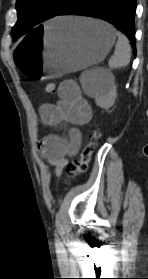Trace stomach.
I'll use <instances>...</instances> for the list:
<instances>
[{"label": "stomach", "mask_w": 148, "mask_h": 279, "mask_svg": "<svg viewBox=\"0 0 148 279\" xmlns=\"http://www.w3.org/2000/svg\"><path fill=\"white\" fill-rule=\"evenodd\" d=\"M115 40V29L99 20L60 17L36 24L15 46V72L22 82H48L98 64Z\"/></svg>", "instance_id": "0dacf381"}]
</instances>
